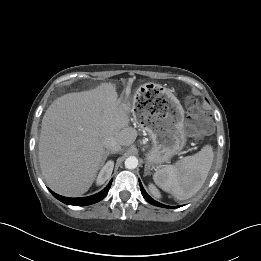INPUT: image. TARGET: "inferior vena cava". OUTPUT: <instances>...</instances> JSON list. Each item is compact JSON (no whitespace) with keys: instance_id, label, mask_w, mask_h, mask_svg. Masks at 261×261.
<instances>
[{"instance_id":"obj_1","label":"inferior vena cava","mask_w":261,"mask_h":261,"mask_svg":"<svg viewBox=\"0 0 261 261\" xmlns=\"http://www.w3.org/2000/svg\"><path fill=\"white\" fill-rule=\"evenodd\" d=\"M103 145L107 150L113 151L115 153L121 150L119 142L114 137H106Z\"/></svg>"}]
</instances>
